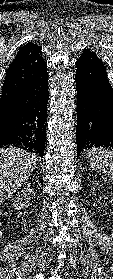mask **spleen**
Instances as JSON below:
<instances>
[{
	"label": "spleen",
	"mask_w": 113,
	"mask_h": 279,
	"mask_svg": "<svg viewBox=\"0 0 113 279\" xmlns=\"http://www.w3.org/2000/svg\"><path fill=\"white\" fill-rule=\"evenodd\" d=\"M86 158L93 170L105 173L113 182V151L92 147L87 150Z\"/></svg>",
	"instance_id": "obj_1"
}]
</instances>
